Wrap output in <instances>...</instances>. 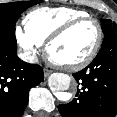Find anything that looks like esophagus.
Instances as JSON below:
<instances>
[{
  "instance_id": "34e87169",
  "label": "esophagus",
  "mask_w": 117,
  "mask_h": 117,
  "mask_svg": "<svg viewBox=\"0 0 117 117\" xmlns=\"http://www.w3.org/2000/svg\"><path fill=\"white\" fill-rule=\"evenodd\" d=\"M51 70L49 69H44V76L47 78L51 74Z\"/></svg>"
}]
</instances>
